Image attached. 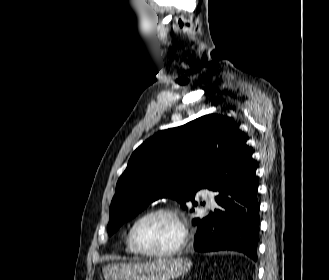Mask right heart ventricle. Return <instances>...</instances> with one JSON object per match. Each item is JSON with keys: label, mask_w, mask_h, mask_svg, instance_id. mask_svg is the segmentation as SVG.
Listing matches in <instances>:
<instances>
[{"label": "right heart ventricle", "mask_w": 329, "mask_h": 280, "mask_svg": "<svg viewBox=\"0 0 329 280\" xmlns=\"http://www.w3.org/2000/svg\"><path fill=\"white\" fill-rule=\"evenodd\" d=\"M126 251H127V253H129L131 255L136 254V252L133 250V248L129 242V234L126 237Z\"/></svg>", "instance_id": "1"}]
</instances>
